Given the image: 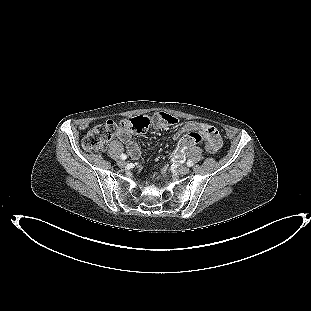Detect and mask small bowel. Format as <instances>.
Returning <instances> with one entry per match:
<instances>
[{
	"mask_svg": "<svg viewBox=\"0 0 311 311\" xmlns=\"http://www.w3.org/2000/svg\"><path fill=\"white\" fill-rule=\"evenodd\" d=\"M198 130L202 137L204 138L205 141V147L208 152L210 153H216L221 145H222V140L220 137V134L218 130L209 123H201V122H187L183 128L179 131H177L174 134V139L182 140V135L184 133L191 134ZM119 139L126 144L128 152L131 156L132 159L136 160L140 157L141 155V150L138 147V145L133 141L132 135L129 132H122L119 136ZM186 147H178L176 150V157L181 158Z\"/></svg>",
	"mask_w": 311,
	"mask_h": 311,
	"instance_id": "small-bowel-1",
	"label": "small bowel"
}]
</instances>
